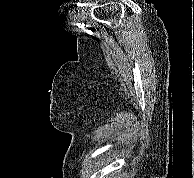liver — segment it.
<instances>
[{
  "instance_id": "1",
  "label": "liver",
  "mask_w": 194,
  "mask_h": 178,
  "mask_svg": "<svg viewBox=\"0 0 194 178\" xmlns=\"http://www.w3.org/2000/svg\"><path fill=\"white\" fill-rule=\"evenodd\" d=\"M106 178H111V177H108V176H107ZM114 178H119V177H118V176H116V177H114Z\"/></svg>"
}]
</instances>
